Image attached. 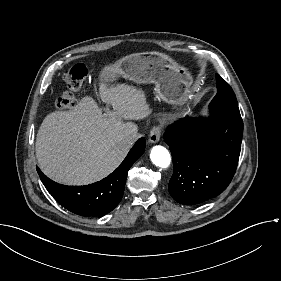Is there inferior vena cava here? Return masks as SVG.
Masks as SVG:
<instances>
[{"instance_id":"inferior-vena-cava-1","label":"inferior vena cava","mask_w":281,"mask_h":281,"mask_svg":"<svg viewBox=\"0 0 281 281\" xmlns=\"http://www.w3.org/2000/svg\"><path fill=\"white\" fill-rule=\"evenodd\" d=\"M138 136L137 134H123L120 136V139L125 141L127 144L132 145L136 140Z\"/></svg>"}]
</instances>
